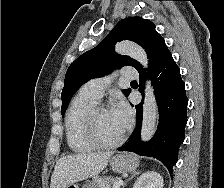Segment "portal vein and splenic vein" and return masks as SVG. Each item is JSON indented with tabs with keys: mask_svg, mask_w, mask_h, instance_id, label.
I'll return each mask as SVG.
<instances>
[{
	"mask_svg": "<svg viewBox=\"0 0 224 188\" xmlns=\"http://www.w3.org/2000/svg\"><path fill=\"white\" fill-rule=\"evenodd\" d=\"M123 184V180L119 179L113 184V188H119Z\"/></svg>",
	"mask_w": 224,
	"mask_h": 188,
	"instance_id": "obj_1",
	"label": "portal vein and splenic vein"
}]
</instances>
